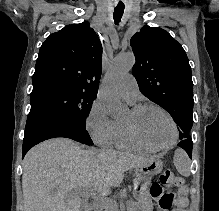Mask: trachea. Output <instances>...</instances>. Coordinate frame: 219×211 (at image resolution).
Wrapping results in <instances>:
<instances>
[{"label": "trachea", "instance_id": "trachea-1", "mask_svg": "<svg viewBox=\"0 0 219 211\" xmlns=\"http://www.w3.org/2000/svg\"><path fill=\"white\" fill-rule=\"evenodd\" d=\"M123 13H124V5H117L114 8L113 18L116 25H118L119 22L121 21Z\"/></svg>", "mask_w": 219, "mask_h": 211}]
</instances>
